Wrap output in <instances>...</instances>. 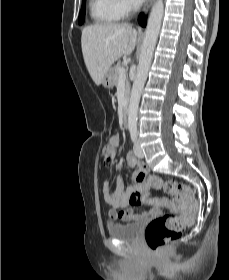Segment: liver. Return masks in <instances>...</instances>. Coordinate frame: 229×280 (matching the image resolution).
<instances>
[{
	"instance_id": "6515ba94",
	"label": "liver",
	"mask_w": 229,
	"mask_h": 280,
	"mask_svg": "<svg viewBox=\"0 0 229 280\" xmlns=\"http://www.w3.org/2000/svg\"><path fill=\"white\" fill-rule=\"evenodd\" d=\"M137 36L136 29L126 23H102L82 30L84 62L97 86L115 61L134 51Z\"/></svg>"
}]
</instances>
